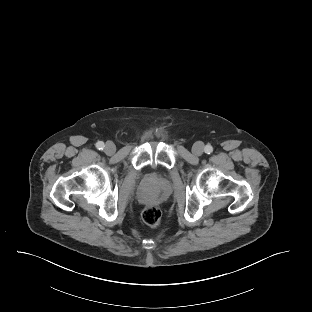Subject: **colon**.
<instances>
[{"label": "colon", "instance_id": "obj_1", "mask_svg": "<svg viewBox=\"0 0 312 312\" xmlns=\"http://www.w3.org/2000/svg\"><path fill=\"white\" fill-rule=\"evenodd\" d=\"M143 221L150 227H158L161 223L162 213L156 206H147L142 212Z\"/></svg>", "mask_w": 312, "mask_h": 312}]
</instances>
